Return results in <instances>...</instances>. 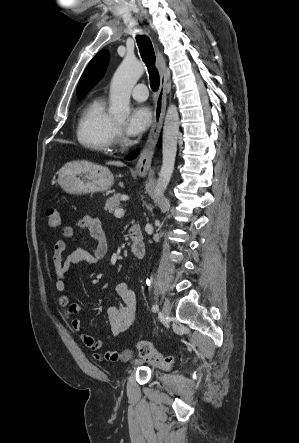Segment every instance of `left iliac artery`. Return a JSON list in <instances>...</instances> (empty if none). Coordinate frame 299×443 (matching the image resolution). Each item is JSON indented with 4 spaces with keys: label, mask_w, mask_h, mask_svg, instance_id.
Listing matches in <instances>:
<instances>
[{
    "label": "left iliac artery",
    "mask_w": 299,
    "mask_h": 443,
    "mask_svg": "<svg viewBox=\"0 0 299 443\" xmlns=\"http://www.w3.org/2000/svg\"><path fill=\"white\" fill-rule=\"evenodd\" d=\"M158 309H159V307H158L157 304L153 305V307H152V311H153V312L158 311Z\"/></svg>",
    "instance_id": "obj_1"
}]
</instances>
